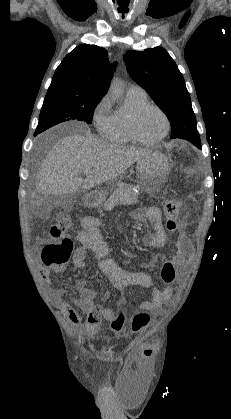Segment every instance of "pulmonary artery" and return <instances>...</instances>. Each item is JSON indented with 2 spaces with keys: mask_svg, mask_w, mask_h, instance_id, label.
<instances>
[{
  "mask_svg": "<svg viewBox=\"0 0 231 419\" xmlns=\"http://www.w3.org/2000/svg\"><path fill=\"white\" fill-rule=\"evenodd\" d=\"M128 91L130 92H135V93H140V94H146L145 90L140 87L139 85H130Z\"/></svg>",
  "mask_w": 231,
  "mask_h": 419,
  "instance_id": "1",
  "label": "pulmonary artery"
}]
</instances>
